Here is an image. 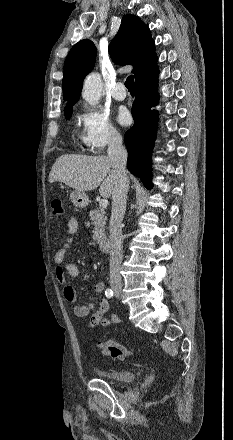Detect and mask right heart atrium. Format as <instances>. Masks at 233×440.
I'll return each instance as SVG.
<instances>
[{
	"label": "right heart atrium",
	"mask_w": 233,
	"mask_h": 440,
	"mask_svg": "<svg viewBox=\"0 0 233 440\" xmlns=\"http://www.w3.org/2000/svg\"><path fill=\"white\" fill-rule=\"evenodd\" d=\"M78 122L81 126V144L90 153H101L121 140L108 114L97 107L84 105L78 114Z\"/></svg>",
	"instance_id": "1"
}]
</instances>
